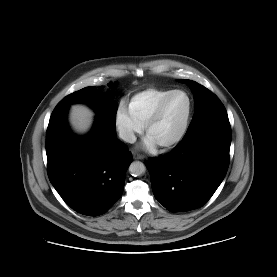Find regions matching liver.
<instances>
[{
	"label": "liver",
	"instance_id": "6515ba94",
	"mask_svg": "<svg viewBox=\"0 0 277 277\" xmlns=\"http://www.w3.org/2000/svg\"><path fill=\"white\" fill-rule=\"evenodd\" d=\"M93 112L86 106L74 105L70 113V121L77 132H86L93 120Z\"/></svg>",
	"mask_w": 277,
	"mask_h": 277
}]
</instances>
